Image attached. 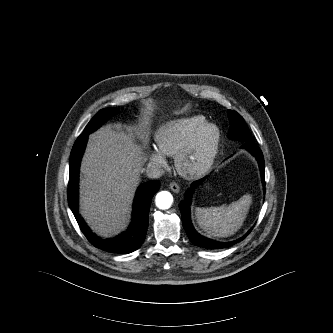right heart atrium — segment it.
<instances>
[{"label":"right heart atrium","instance_id":"d8ad5b80","mask_svg":"<svg viewBox=\"0 0 333 333\" xmlns=\"http://www.w3.org/2000/svg\"><path fill=\"white\" fill-rule=\"evenodd\" d=\"M149 162L159 169H165L167 167V161L165 156L156 148H149L147 152Z\"/></svg>","mask_w":333,"mask_h":333}]
</instances>
